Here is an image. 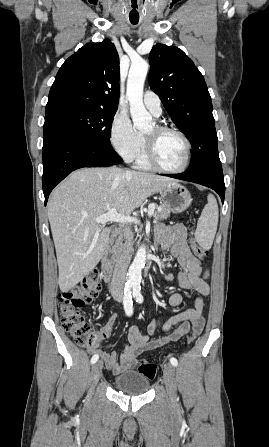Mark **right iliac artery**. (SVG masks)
I'll return each instance as SVG.
<instances>
[{"instance_id":"right-iliac-artery-1","label":"right iliac artery","mask_w":269,"mask_h":447,"mask_svg":"<svg viewBox=\"0 0 269 447\" xmlns=\"http://www.w3.org/2000/svg\"><path fill=\"white\" fill-rule=\"evenodd\" d=\"M132 287H133V284H126L125 288H124L123 304H124V309H125L126 315H128V316H131L133 313V301H132V296H131ZM98 359H99V356L97 354H95L91 358V363L92 364L96 363Z\"/></svg>"}]
</instances>
